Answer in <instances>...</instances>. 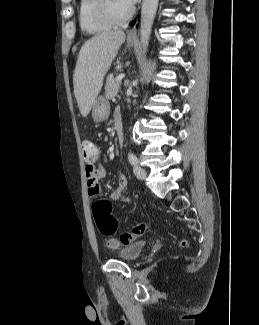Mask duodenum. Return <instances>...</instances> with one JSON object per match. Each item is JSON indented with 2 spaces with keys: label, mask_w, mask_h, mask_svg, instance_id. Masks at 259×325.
Returning a JSON list of instances; mask_svg holds the SVG:
<instances>
[{
  "label": "duodenum",
  "mask_w": 259,
  "mask_h": 325,
  "mask_svg": "<svg viewBox=\"0 0 259 325\" xmlns=\"http://www.w3.org/2000/svg\"><path fill=\"white\" fill-rule=\"evenodd\" d=\"M114 127L117 135V140L120 145H122L124 141V128H123V121L121 117V113H117L114 116Z\"/></svg>",
  "instance_id": "obj_1"
}]
</instances>
